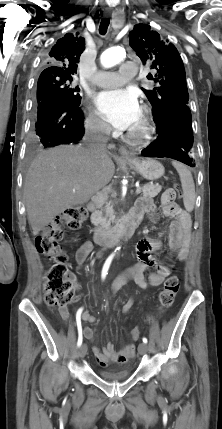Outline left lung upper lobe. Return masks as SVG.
Segmentation results:
<instances>
[{
	"mask_svg": "<svg viewBox=\"0 0 222 429\" xmlns=\"http://www.w3.org/2000/svg\"><path fill=\"white\" fill-rule=\"evenodd\" d=\"M129 40L136 55L144 64L151 63L155 72L149 73L147 78L154 80L157 86L152 90L142 88L153 107V119L158 121L170 110L188 106L185 69L174 45L164 42L146 24L135 25L129 33Z\"/></svg>",
	"mask_w": 222,
	"mask_h": 429,
	"instance_id": "5c2ea615",
	"label": "left lung upper lobe"
}]
</instances>
